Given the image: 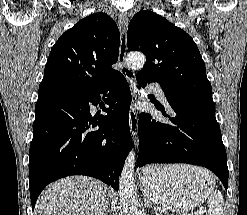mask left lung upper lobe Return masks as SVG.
<instances>
[{
	"label": "left lung upper lobe",
	"mask_w": 247,
	"mask_h": 215,
	"mask_svg": "<svg viewBox=\"0 0 247 215\" xmlns=\"http://www.w3.org/2000/svg\"><path fill=\"white\" fill-rule=\"evenodd\" d=\"M127 46L146 55L138 73L158 82L166 93L213 102L197 45L164 17L149 10L135 14L128 26Z\"/></svg>",
	"instance_id": "obj_1"
}]
</instances>
